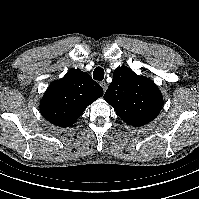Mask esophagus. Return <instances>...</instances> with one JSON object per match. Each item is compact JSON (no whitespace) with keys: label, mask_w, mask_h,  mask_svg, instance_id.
I'll return each mask as SVG.
<instances>
[{"label":"esophagus","mask_w":199,"mask_h":199,"mask_svg":"<svg viewBox=\"0 0 199 199\" xmlns=\"http://www.w3.org/2000/svg\"><path fill=\"white\" fill-rule=\"evenodd\" d=\"M100 85H101V87L103 88L104 91L107 90V87H108V86H107V83H106L105 81H101V82H100Z\"/></svg>","instance_id":"34e87169"}]
</instances>
